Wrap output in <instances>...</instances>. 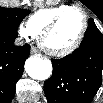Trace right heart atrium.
Segmentation results:
<instances>
[{
    "instance_id": "obj_1",
    "label": "right heart atrium",
    "mask_w": 103,
    "mask_h": 103,
    "mask_svg": "<svg viewBox=\"0 0 103 103\" xmlns=\"http://www.w3.org/2000/svg\"><path fill=\"white\" fill-rule=\"evenodd\" d=\"M18 32H19V35L26 39V40H30L32 39L33 37H35V35L32 33V31L28 28L27 25H23L21 24L18 28Z\"/></svg>"
}]
</instances>
